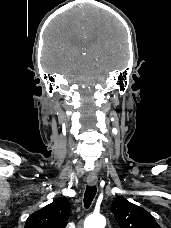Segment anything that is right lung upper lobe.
I'll use <instances>...</instances> for the list:
<instances>
[{"label": "right lung upper lobe", "instance_id": "cb5924a9", "mask_svg": "<svg viewBox=\"0 0 171 228\" xmlns=\"http://www.w3.org/2000/svg\"><path fill=\"white\" fill-rule=\"evenodd\" d=\"M70 214L67 199L58 198L29 216L24 228H65Z\"/></svg>", "mask_w": 171, "mask_h": 228}]
</instances>
